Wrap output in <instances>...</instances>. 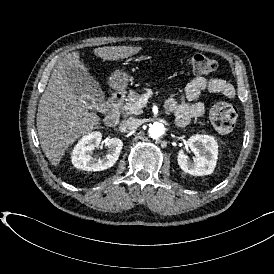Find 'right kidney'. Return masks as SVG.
I'll use <instances>...</instances> for the list:
<instances>
[{"mask_svg":"<svg viewBox=\"0 0 274 274\" xmlns=\"http://www.w3.org/2000/svg\"><path fill=\"white\" fill-rule=\"evenodd\" d=\"M101 140L102 134L99 131L84 135L74 146L72 164L85 171H102L112 167L120 156L123 142L116 137L104 140L103 143L108 147L107 154L99 159L93 158L92 152L100 146Z\"/></svg>","mask_w":274,"mask_h":274,"instance_id":"ca27d5eb","label":"right kidney"}]
</instances>
